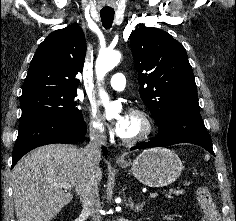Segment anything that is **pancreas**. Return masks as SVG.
Instances as JSON below:
<instances>
[{
  "label": "pancreas",
  "mask_w": 236,
  "mask_h": 221,
  "mask_svg": "<svg viewBox=\"0 0 236 221\" xmlns=\"http://www.w3.org/2000/svg\"><path fill=\"white\" fill-rule=\"evenodd\" d=\"M183 193H184V190L178 188V189H175V190L170 191L169 193L166 194V196H167L168 198H172V194H174V195H176V196H179V195H181V194H183Z\"/></svg>",
  "instance_id": "obj_1"
}]
</instances>
